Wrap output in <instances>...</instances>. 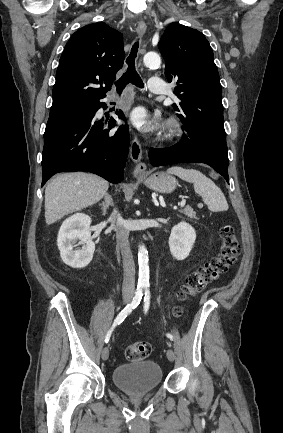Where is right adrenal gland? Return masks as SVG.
<instances>
[{
  "label": "right adrenal gland",
  "instance_id": "2a0ac1e0",
  "mask_svg": "<svg viewBox=\"0 0 283 433\" xmlns=\"http://www.w3.org/2000/svg\"><path fill=\"white\" fill-rule=\"evenodd\" d=\"M99 206H101L103 217H105V214H107V208H109V206H114L113 198H111L109 192H105V200L104 202H100Z\"/></svg>",
  "mask_w": 283,
  "mask_h": 433
}]
</instances>
